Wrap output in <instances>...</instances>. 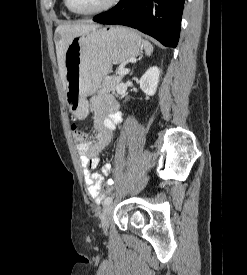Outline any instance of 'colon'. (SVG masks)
Instances as JSON below:
<instances>
[{"label": "colon", "mask_w": 247, "mask_h": 275, "mask_svg": "<svg viewBox=\"0 0 247 275\" xmlns=\"http://www.w3.org/2000/svg\"><path fill=\"white\" fill-rule=\"evenodd\" d=\"M73 138H74V141L77 143V144H81L84 142L85 138H86V134L78 129L76 127V125H73ZM113 191V183L112 182H108L106 184H104L103 186V192L105 194H108V193H111Z\"/></svg>", "instance_id": "colon-1"}]
</instances>
